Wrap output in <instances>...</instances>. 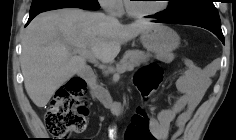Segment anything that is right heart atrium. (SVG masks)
<instances>
[{
    "mask_svg": "<svg viewBox=\"0 0 236 140\" xmlns=\"http://www.w3.org/2000/svg\"><path fill=\"white\" fill-rule=\"evenodd\" d=\"M99 3L107 13L120 15L123 12L122 0H99Z\"/></svg>",
    "mask_w": 236,
    "mask_h": 140,
    "instance_id": "d8ad5b80",
    "label": "right heart atrium"
}]
</instances>
